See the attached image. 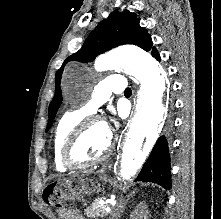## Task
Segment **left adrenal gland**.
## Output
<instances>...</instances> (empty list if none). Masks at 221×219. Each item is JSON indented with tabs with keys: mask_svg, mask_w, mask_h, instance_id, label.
<instances>
[{
	"mask_svg": "<svg viewBox=\"0 0 221 219\" xmlns=\"http://www.w3.org/2000/svg\"><path fill=\"white\" fill-rule=\"evenodd\" d=\"M131 196H132V194H129L127 196V200L121 202V204L118 206V209H116V210H119V212L113 213L111 219H119L120 218L121 214L124 211V205L128 202V200L130 199Z\"/></svg>",
	"mask_w": 221,
	"mask_h": 219,
	"instance_id": "left-adrenal-gland-1",
	"label": "left adrenal gland"
}]
</instances>
